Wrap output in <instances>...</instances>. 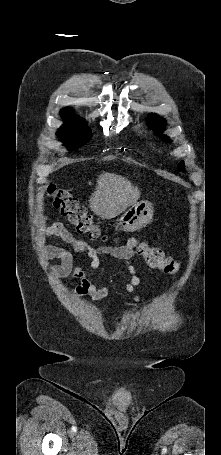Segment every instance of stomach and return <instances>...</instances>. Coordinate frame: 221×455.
<instances>
[{"label": "stomach", "mask_w": 221, "mask_h": 455, "mask_svg": "<svg viewBox=\"0 0 221 455\" xmlns=\"http://www.w3.org/2000/svg\"><path fill=\"white\" fill-rule=\"evenodd\" d=\"M154 208L152 203L146 200L136 202L116 220V230L134 232L149 224L153 218Z\"/></svg>", "instance_id": "obj_1"}]
</instances>
